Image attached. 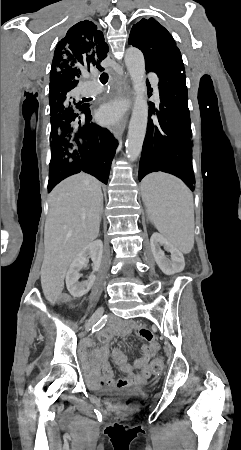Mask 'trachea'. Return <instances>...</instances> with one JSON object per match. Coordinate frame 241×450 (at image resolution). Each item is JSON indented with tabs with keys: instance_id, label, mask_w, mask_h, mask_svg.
I'll return each mask as SVG.
<instances>
[{
	"instance_id": "trachea-1",
	"label": "trachea",
	"mask_w": 241,
	"mask_h": 450,
	"mask_svg": "<svg viewBox=\"0 0 241 450\" xmlns=\"http://www.w3.org/2000/svg\"><path fill=\"white\" fill-rule=\"evenodd\" d=\"M100 81H101V83H106L108 81V74L102 73L100 76Z\"/></svg>"
}]
</instances>
